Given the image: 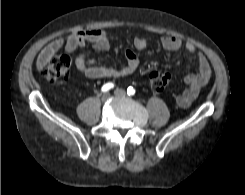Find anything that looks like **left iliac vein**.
<instances>
[{
	"label": "left iliac vein",
	"instance_id": "4c4485c4",
	"mask_svg": "<svg viewBox=\"0 0 245 195\" xmlns=\"http://www.w3.org/2000/svg\"><path fill=\"white\" fill-rule=\"evenodd\" d=\"M114 94H115L116 96L122 97V96H125V95H126V92H125L123 89H116V90L114 91Z\"/></svg>",
	"mask_w": 245,
	"mask_h": 195
}]
</instances>
